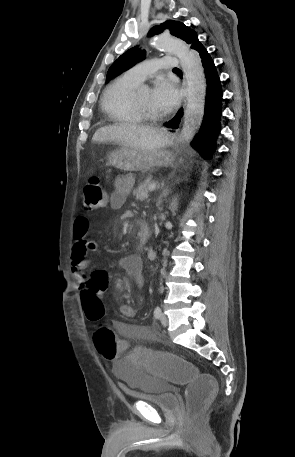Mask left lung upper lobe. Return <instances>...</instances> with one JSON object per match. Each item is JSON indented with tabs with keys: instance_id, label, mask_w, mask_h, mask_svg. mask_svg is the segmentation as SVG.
<instances>
[{
	"instance_id": "left-lung-upper-lobe-1",
	"label": "left lung upper lobe",
	"mask_w": 295,
	"mask_h": 457,
	"mask_svg": "<svg viewBox=\"0 0 295 457\" xmlns=\"http://www.w3.org/2000/svg\"><path fill=\"white\" fill-rule=\"evenodd\" d=\"M168 28L172 35L184 40L187 44L192 45L198 36L194 30L184 25L179 21L169 20L161 25L154 26L148 33V36L160 34L164 29ZM146 52L134 47L122 54L109 68L107 72V79H113L128 70L136 63L145 58Z\"/></svg>"
}]
</instances>
